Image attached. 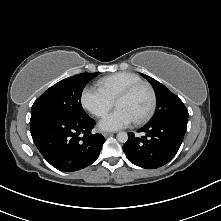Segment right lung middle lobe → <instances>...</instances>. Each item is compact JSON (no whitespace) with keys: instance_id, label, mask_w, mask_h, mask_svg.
<instances>
[{"instance_id":"obj_1","label":"right lung middle lobe","mask_w":221,"mask_h":221,"mask_svg":"<svg viewBox=\"0 0 221 221\" xmlns=\"http://www.w3.org/2000/svg\"><path fill=\"white\" fill-rule=\"evenodd\" d=\"M99 73H82L59 81L35 100L31 120L45 116L83 117L87 114L81 105L85 85Z\"/></svg>"}]
</instances>
